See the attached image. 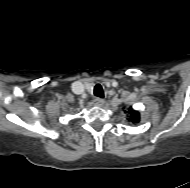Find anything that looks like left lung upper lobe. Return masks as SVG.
<instances>
[{
    "label": "left lung upper lobe",
    "mask_w": 190,
    "mask_h": 188,
    "mask_svg": "<svg viewBox=\"0 0 190 188\" xmlns=\"http://www.w3.org/2000/svg\"><path fill=\"white\" fill-rule=\"evenodd\" d=\"M129 112H130V116H129L128 120L133 124L139 123V121H140L139 112L133 110L132 107L129 108Z\"/></svg>",
    "instance_id": "left-lung-upper-lobe-1"
}]
</instances>
